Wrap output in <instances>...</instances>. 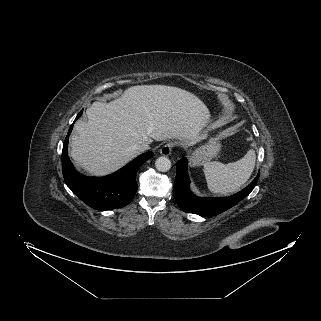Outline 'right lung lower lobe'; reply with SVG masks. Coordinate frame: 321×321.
Here are the masks:
<instances>
[{
  "instance_id": "1",
  "label": "right lung lower lobe",
  "mask_w": 321,
  "mask_h": 321,
  "mask_svg": "<svg viewBox=\"0 0 321 321\" xmlns=\"http://www.w3.org/2000/svg\"><path fill=\"white\" fill-rule=\"evenodd\" d=\"M81 111L75 121L82 115ZM74 124V122H73ZM70 126L63 143L62 172L66 185L88 206L96 210H112L129 204L137 191L136 174L139 167L153 157L152 152L144 153L117 172L106 177H86L79 174L68 157Z\"/></svg>"
}]
</instances>
